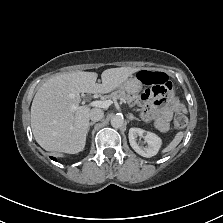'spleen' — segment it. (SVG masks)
<instances>
[{
    "mask_svg": "<svg viewBox=\"0 0 223 223\" xmlns=\"http://www.w3.org/2000/svg\"><path fill=\"white\" fill-rule=\"evenodd\" d=\"M183 135H184L183 132H178L173 141L169 144L167 148L163 150V152H168L173 150L181 142Z\"/></svg>",
    "mask_w": 223,
    "mask_h": 223,
    "instance_id": "spleen-1",
    "label": "spleen"
}]
</instances>
